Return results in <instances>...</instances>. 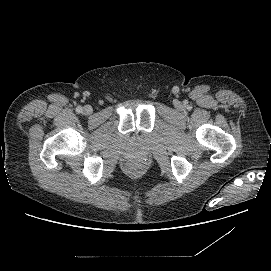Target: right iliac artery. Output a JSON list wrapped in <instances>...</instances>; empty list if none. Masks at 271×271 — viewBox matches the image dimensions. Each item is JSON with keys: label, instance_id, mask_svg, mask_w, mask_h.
<instances>
[{"label": "right iliac artery", "instance_id": "1", "mask_svg": "<svg viewBox=\"0 0 271 271\" xmlns=\"http://www.w3.org/2000/svg\"><path fill=\"white\" fill-rule=\"evenodd\" d=\"M82 111H83L82 107L78 106V107L76 108V112L81 113Z\"/></svg>", "mask_w": 271, "mask_h": 271}]
</instances>
